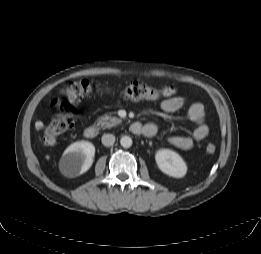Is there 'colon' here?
<instances>
[{"label": "colon", "mask_w": 261, "mask_h": 254, "mask_svg": "<svg viewBox=\"0 0 261 254\" xmlns=\"http://www.w3.org/2000/svg\"><path fill=\"white\" fill-rule=\"evenodd\" d=\"M106 89L104 85H94L86 79L72 81L62 92L67 103H77L88 97L95 91ZM176 90L172 86H164L162 88H154L152 86L133 81L123 88V94L126 98L139 100H159L163 98H171L175 95ZM74 126V118L71 114H59L44 128V140L47 143L54 141L58 136L72 129ZM207 154H214L216 146L208 143L205 146Z\"/></svg>", "instance_id": "colon-1"}]
</instances>
